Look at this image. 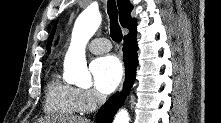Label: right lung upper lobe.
Instances as JSON below:
<instances>
[{"instance_id": "obj_1", "label": "right lung upper lobe", "mask_w": 221, "mask_h": 123, "mask_svg": "<svg viewBox=\"0 0 221 123\" xmlns=\"http://www.w3.org/2000/svg\"><path fill=\"white\" fill-rule=\"evenodd\" d=\"M117 4H118V8H119L120 23H121L122 27L129 29V33L126 36L135 35L137 21L135 18L130 17V13L133 9L132 4L129 2V0H118ZM54 33H55V27L53 28L52 33L48 39V43H47L48 53L50 52L51 43H52Z\"/></svg>"}]
</instances>
